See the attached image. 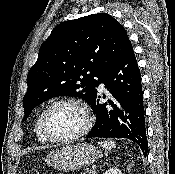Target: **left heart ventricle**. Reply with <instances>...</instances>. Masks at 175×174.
Here are the masks:
<instances>
[{
	"mask_svg": "<svg viewBox=\"0 0 175 174\" xmlns=\"http://www.w3.org/2000/svg\"><path fill=\"white\" fill-rule=\"evenodd\" d=\"M84 124L81 111L74 105L62 104L53 108L46 118V128L53 137H68L78 132Z\"/></svg>",
	"mask_w": 175,
	"mask_h": 174,
	"instance_id": "obj_1",
	"label": "left heart ventricle"
}]
</instances>
